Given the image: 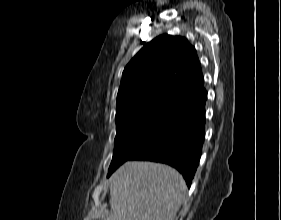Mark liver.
<instances>
[{"label": "liver", "instance_id": "1", "mask_svg": "<svg viewBox=\"0 0 281 220\" xmlns=\"http://www.w3.org/2000/svg\"><path fill=\"white\" fill-rule=\"evenodd\" d=\"M187 192L174 168L128 161L110 178V215L106 220H174Z\"/></svg>", "mask_w": 281, "mask_h": 220}]
</instances>
